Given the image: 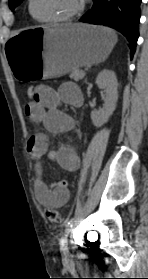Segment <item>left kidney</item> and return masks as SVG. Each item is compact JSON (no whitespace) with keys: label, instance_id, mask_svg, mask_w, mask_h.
I'll use <instances>...</instances> for the list:
<instances>
[{"label":"left kidney","instance_id":"obj_1","mask_svg":"<svg viewBox=\"0 0 148 279\" xmlns=\"http://www.w3.org/2000/svg\"><path fill=\"white\" fill-rule=\"evenodd\" d=\"M96 84L100 89L105 91L106 97L103 107L91 112V120L94 126L101 127L108 121L116 108L118 100V82L115 72L104 69L98 74Z\"/></svg>","mask_w":148,"mask_h":279}]
</instances>
